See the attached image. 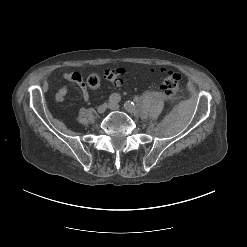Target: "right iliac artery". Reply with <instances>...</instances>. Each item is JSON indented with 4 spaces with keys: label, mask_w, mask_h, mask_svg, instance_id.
I'll return each instance as SVG.
<instances>
[{
    "label": "right iliac artery",
    "mask_w": 247,
    "mask_h": 247,
    "mask_svg": "<svg viewBox=\"0 0 247 247\" xmlns=\"http://www.w3.org/2000/svg\"><path fill=\"white\" fill-rule=\"evenodd\" d=\"M120 100H121V97L117 93H113L109 97V102L110 103H118V102H120Z\"/></svg>",
    "instance_id": "1"
}]
</instances>
